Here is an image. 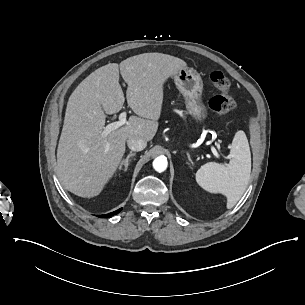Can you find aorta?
I'll use <instances>...</instances> for the list:
<instances>
[{
  "mask_svg": "<svg viewBox=\"0 0 305 305\" xmlns=\"http://www.w3.org/2000/svg\"><path fill=\"white\" fill-rule=\"evenodd\" d=\"M168 161L165 156H158L153 161V168L157 172H163L167 169Z\"/></svg>",
  "mask_w": 305,
  "mask_h": 305,
  "instance_id": "1",
  "label": "aorta"
}]
</instances>
